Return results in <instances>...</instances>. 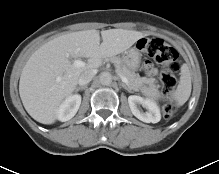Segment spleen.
<instances>
[{
    "label": "spleen",
    "mask_w": 219,
    "mask_h": 174,
    "mask_svg": "<svg viewBox=\"0 0 219 174\" xmlns=\"http://www.w3.org/2000/svg\"><path fill=\"white\" fill-rule=\"evenodd\" d=\"M191 87L189 67L187 64H183L181 67L180 83L177 90L173 93V98L177 105H183L189 99ZM142 93L151 100H158L161 97L160 93L151 87H144Z\"/></svg>",
    "instance_id": "obj_1"
}]
</instances>
